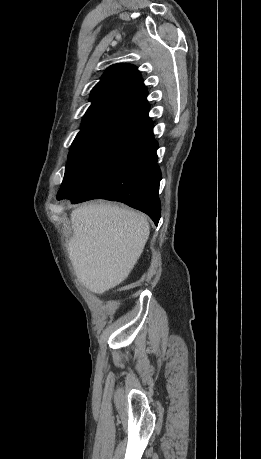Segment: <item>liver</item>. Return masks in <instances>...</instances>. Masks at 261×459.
I'll return each instance as SVG.
<instances>
[{
	"label": "liver",
	"instance_id": "obj_1",
	"mask_svg": "<svg viewBox=\"0 0 261 459\" xmlns=\"http://www.w3.org/2000/svg\"><path fill=\"white\" fill-rule=\"evenodd\" d=\"M69 258L80 281L103 294L122 283L140 258L149 238L145 215L105 202L74 209Z\"/></svg>",
	"mask_w": 261,
	"mask_h": 459
}]
</instances>
